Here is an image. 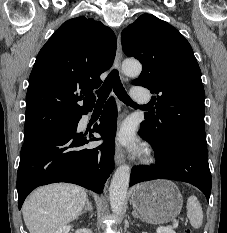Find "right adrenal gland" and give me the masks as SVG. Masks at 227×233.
Here are the masks:
<instances>
[{"instance_id":"1","label":"right adrenal gland","mask_w":227,"mask_h":233,"mask_svg":"<svg viewBox=\"0 0 227 233\" xmlns=\"http://www.w3.org/2000/svg\"><path fill=\"white\" fill-rule=\"evenodd\" d=\"M87 211H89V212H92V211H93V207H92L91 202L89 201L88 198H87V200H86V206H85V208L82 210V212L80 213V215L86 213Z\"/></svg>"}]
</instances>
